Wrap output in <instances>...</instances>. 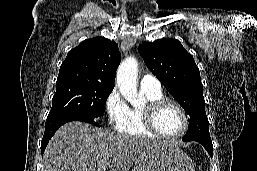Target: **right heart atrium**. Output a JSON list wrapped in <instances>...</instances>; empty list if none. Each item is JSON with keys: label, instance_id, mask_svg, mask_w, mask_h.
<instances>
[{"label": "right heart atrium", "instance_id": "d8ad5b80", "mask_svg": "<svg viewBox=\"0 0 257 171\" xmlns=\"http://www.w3.org/2000/svg\"><path fill=\"white\" fill-rule=\"evenodd\" d=\"M105 111L109 124L121 131L126 124L129 107L118 89H113L106 97Z\"/></svg>", "mask_w": 257, "mask_h": 171}]
</instances>
